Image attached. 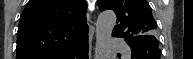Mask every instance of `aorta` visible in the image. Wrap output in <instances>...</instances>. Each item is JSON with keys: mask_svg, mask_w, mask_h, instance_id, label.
<instances>
[{"mask_svg": "<svg viewBox=\"0 0 193 59\" xmlns=\"http://www.w3.org/2000/svg\"><path fill=\"white\" fill-rule=\"evenodd\" d=\"M116 19L113 11L99 14L96 22L95 59H111V35Z\"/></svg>", "mask_w": 193, "mask_h": 59, "instance_id": "1", "label": "aorta"}]
</instances>
